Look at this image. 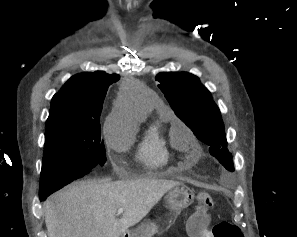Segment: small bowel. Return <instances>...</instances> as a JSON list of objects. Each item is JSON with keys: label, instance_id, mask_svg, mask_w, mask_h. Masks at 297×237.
Returning a JSON list of instances; mask_svg holds the SVG:
<instances>
[{"label": "small bowel", "instance_id": "obj_1", "mask_svg": "<svg viewBox=\"0 0 297 237\" xmlns=\"http://www.w3.org/2000/svg\"><path fill=\"white\" fill-rule=\"evenodd\" d=\"M191 237H214V236L209 230L203 229L200 233L196 235H192L191 233Z\"/></svg>", "mask_w": 297, "mask_h": 237}]
</instances>
